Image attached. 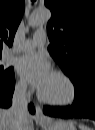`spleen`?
I'll list each match as a JSON object with an SVG mask.
<instances>
[{
    "label": "spleen",
    "instance_id": "spleen-1",
    "mask_svg": "<svg viewBox=\"0 0 95 130\" xmlns=\"http://www.w3.org/2000/svg\"><path fill=\"white\" fill-rule=\"evenodd\" d=\"M79 128H80V130H91V128H89L88 126H86L84 124H80Z\"/></svg>",
    "mask_w": 95,
    "mask_h": 130
}]
</instances>
